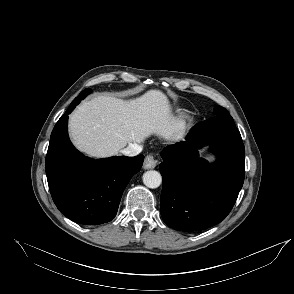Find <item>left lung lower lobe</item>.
Listing matches in <instances>:
<instances>
[{
	"instance_id": "1",
	"label": "left lung lower lobe",
	"mask_w": 294,
	"mask_h": 294,
	"mask_svg": "<svg viewBox=\"0 0 294 294\" xmlns=\"http://www.w3.org/2000/svg\"><path fill=\"white\" fill-rule=\"evenodd\" d=\"M207 144L218 158L211 166L198 154ZM161 156V215L169 227L198 231L226 218L242 188L245 170V148L230 115L196 124L186 141L167 146Z\"/></svg>"
}]
</instances>
